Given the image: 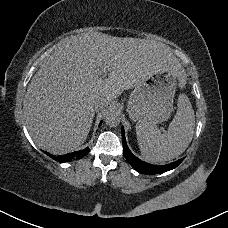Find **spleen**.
<instances>
[{
	"instance_id": "1",
	"label": "spleen",
	"mask_w": 228,
	"mask_h": 228,
	"mask_svg": "<svg viewBox=\"0 0 228 228\" xmlns=\"http://www.w3.org/2000/svg\"><path fill=\"white\" fill-rule=\"evenodd\" d=\"M177 107L166 133L144 121L136 125L138 145L146 162L161 164L170 161L182 154L192 141L195 114L187 95H179Z\"/></svg>"
}]
</instances>
